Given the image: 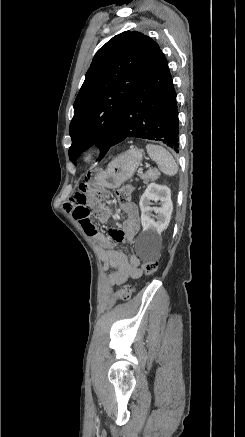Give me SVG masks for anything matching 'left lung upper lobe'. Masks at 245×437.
Here are the masks:
<instances>
[{
	"label": "left lung upper lobe",
	"instance_id": "5c2ea615",
	"mask_svg": "<svg viewBox=\"0 0 245 437\" xmlns=\"http://www.w3.org/2000/svg\"><path fill=\"white\" fill-rule=\"evenodd\" d=\"M158 50L150 37L125 31L97 51L74 102L69 128V158L74 164L94 143L101 150L99 158L107 153L125 104Z\"/></svg>",
	"mask_w": 245,
	"mask_h": 437
}]
</instances>
